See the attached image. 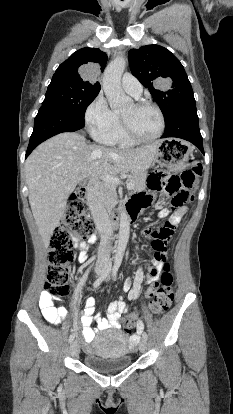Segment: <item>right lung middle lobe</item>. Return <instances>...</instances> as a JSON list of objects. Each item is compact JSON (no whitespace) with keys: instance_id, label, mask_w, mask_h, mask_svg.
<instances>
[{"instance_id":"dd1d6c3e","label":"right lung middle lobe","mask_w":233,"mask_h":414,"mask_svg":"<svg viewBox=\"0 0 233 414\" xmlns=\"http://www.w3.org/2000/svg\"><path fill=\"white\" fill-rule=\"evenodd\" d=\"M99 91L100 88L52 79L42 106H53L84 118L86 108Z\"/></svg>"}]
</instances>
